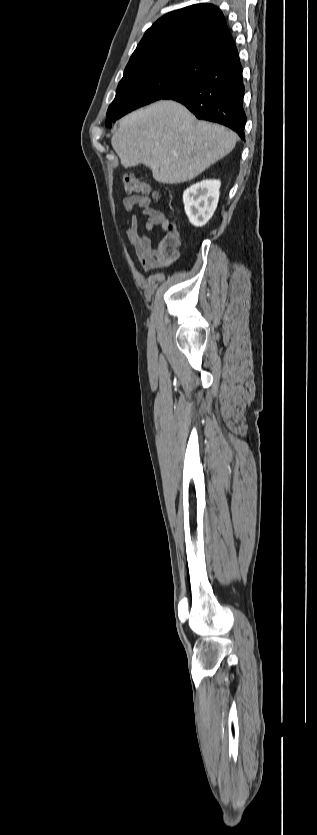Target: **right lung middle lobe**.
<instances>
[{"label": "right lung middle lobe", "mask_w": 317, "mask_h": 835, "mask_svg": "<svg viewBox=\"0 0 317 835\" xmlns=\"http://www.w3.org/2000/svg\"><path fill=\"white\" fill-rule=\"evenodd\" d=\"M204 78V70L195 57L152 65L124 75L108 108L105 125L111 127V122L128 112Z\"/></svg>", "instance_id": "right-lung-middle-lobe-1"}]
</instances>
